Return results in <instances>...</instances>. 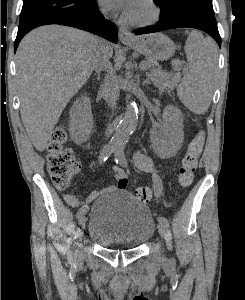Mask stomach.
<instances>
[{"label": "stomach", "mask_w": 245, "mask_h": 300, "mask_svg": "<svg viewBox=\"0 0 245 300\" xmlns=\"http://www.w3.org/2000/svg\"><path fill=\"white\" fill-rule=\"evenodd\" d=\"M127 44L153 61L167 60L175 52L173 41L162 33L144 35Z\"/></svg>", "instance_id": "0dacf381"}]
</instances>
